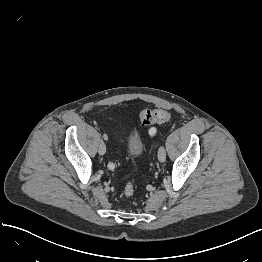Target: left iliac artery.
<instances>
[{
    "label": "left iliac artery",
    "mask_w": 262,
    "mask_h": 262,
    "mask_svg": "<svg viewBox=\"0 0 262 262\" xmlns=\"http://www.w3.org/2000/svg\"><path fill=\"white\" fill-rule=\"evenodd\" d=\"M151 130H154V131H156L154 128H152ZM151 130H150V131H151Z\"/></svg>",
    "instance_id": "1"
}]
</instances>
